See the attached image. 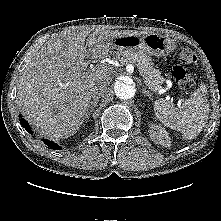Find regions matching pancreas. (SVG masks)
I'll return each instance as SVG.
<instances>
[{
  "mask_svg": "<svg viewBox=\"0 0 221 221\" xmlns=\"http://www.w3.org/2000/svg\"><path fill=\"white\" fill-rule=\"evenodd\" d=\"M122 64L132 63L134 64L140 75L143 77L144 83L152 90L157 91L164 82V78L161 73L151 63L150 58L143 53H130V52H118L116 55Z\"/></svg>",
  "mask_w": 221,
  "mask_h": 221,
  "instance_id": "obj_1",
  "label": "pancreas"
}]
</instances>
